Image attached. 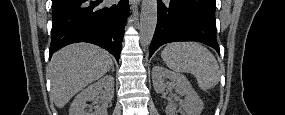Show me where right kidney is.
Listing matches in <instances>:
<instances>
[{"label":"right kidney","instance_id":"obj_1","mask_svg":"<svg viewBox=\"0 0 285 115\" xmlns=\"http://www.w3.org/2000/svg\"><path fill=\"white\" fill-rule=\"evenodd\" d=\"M101 93V105L95 108L93 113L85 110L87 101H93ZM114 96V77L106 75L96 83L82 90L73 100L69 115H107L108 103Z\"/></svg>","mask_w":285,"mask_h":115}]
</instances>
